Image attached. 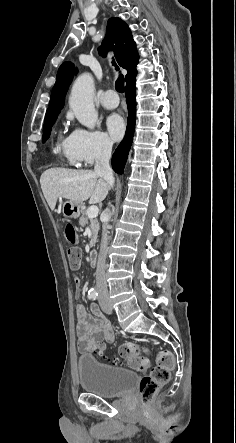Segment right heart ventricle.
Instances as JSON below:
<instances>
[{"instance_id":"1","label":"right heart ventricle","mask_w":236,"mask_h":443,"mask_svg":"<svg viewBox=\"0 0 236 443\" xmlns=\"http://www.w3.org/2000/svg\"><path fill=\"white\" fill-rule=\"evenodd\" d=\"M57 149L63 154L68 164H76V162L71 159L68 154L67 139H62L59 137L57 140Z\"/></svg>"}]
</instances>
